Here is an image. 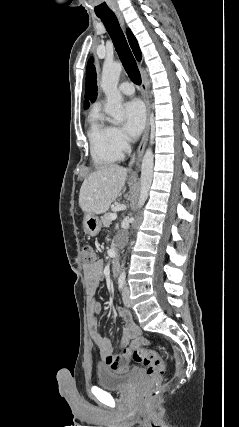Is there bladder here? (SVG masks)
I'll return each instance as SVG.
<instances>
[{
  "mask_svg": "<svg viewBox=\"0 0 239 427\" xmlns=\"http://www.w3.org/2000/svg\"><path fill=\"white\" fill-rule=\"evenodd\" d=\"M139 374L140 371L137 368L122 373L101 368L97 372V382L104 389L121 391L128 389L137 380Z\"/></svg>",
  "mask_w": 239,
  "mask_h": 427,
  "instance_id": "bladder-1",
  "label": "bladder"
}]
</instances>
